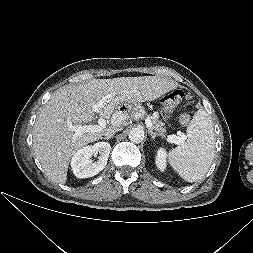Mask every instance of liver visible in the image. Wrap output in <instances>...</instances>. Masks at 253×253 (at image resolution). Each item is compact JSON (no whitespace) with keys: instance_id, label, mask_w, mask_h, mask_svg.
<instances>
[{"instance_id":"obj_1","label":"liver","mask_w":253,"mask_h":253,"mask_svg":"<svg viewBox=\"0 0 253 253\" xmlns=\"http://www.w3.org/2000/svg\"><path fill=\"white\" fill-rule=\"evenodd\" d=\"M176 87L173 80L143 76L93 79L56 90L40 110L33 130V149L45 174L51 181L65 184L70 159L79 148L100 139L107 131L122 129L129 115L117 111L121 104L153 101ZM107 96L101 110L94 112L92 105ZM95 114L105 119L111 117V125L97 132L76 135L71 126L90 123ZM113 114L123 119L113 120ZM133 117L138 119L140 114L134 113Z\"/></svg>"}]
</instances>
